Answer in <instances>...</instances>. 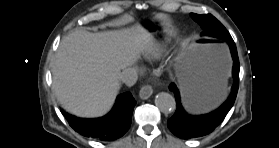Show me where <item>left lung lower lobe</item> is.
Masks as SVG:
<instances>
[{
	"mask_svg": "<svg viewBox=\"0 0 279 148\" xmlns=\"http://www.w3.org/2000/svg\"><path fill=\"white\" fill-rule=\"evenodd\" d=\"M223 40L228 43L234 61L232 69L234 83L231 94L224 104L209 114L199 116L189 115L182 108L179 91L175 84L172 83L169 87L170 90L174 92L177 101V109L174 115L168 120L167 125L171 132L181 139L196 138L211 133L224 120L235 102L239 87V59L232 37Z\"/></svg>",
	"mask_w": 279,
	"mask_h": 148,
	"instance_id": "obj_1",
	"label": "left lung lower lobe"
}]
</instances>
